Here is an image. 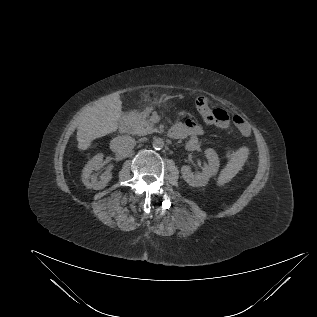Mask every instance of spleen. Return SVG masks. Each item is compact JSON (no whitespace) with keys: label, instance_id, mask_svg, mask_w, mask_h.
<instances>
[{"label":"spleen","instance_id":"1","mask_svg":"<svg viewBox=\"0 0 317 317\" xmlns=\"http://www.w3.org/2000/svg\"><path fill=\"white\" fill-rule=\"evenodd\" d=\"M248 157L247 148H241L230 159L225 168L221 171L217 185L222 186L229 182L241 169Z\"/></svg>","mask_w":317,"mask_h":317}]
</instances>
